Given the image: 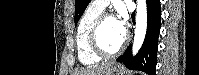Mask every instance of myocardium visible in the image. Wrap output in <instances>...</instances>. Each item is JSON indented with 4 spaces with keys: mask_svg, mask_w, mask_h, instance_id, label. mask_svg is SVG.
<instances>
[{
    "mask_svg": "<svg viewBox=\"0 0 199 75\" xmlns=\"http://www.w3.org/2000/svg\"><path fill=\"white\" fill-rule=\"evenodd\" d=\"M108 18H113V15L111 13H107V12H102L101 14H99L94 22L92 23L89 33H88V41H89V45L92 49V51L102 57V58H106V57H111L114 56L118 53H120L126 46L127 41H128V36L126 34H124V38L123 41L121 42V44L114 50H106L100 42V30L101 27L104 23V21Z\"/></svg>",
    "mask_w": 199,
    "mask_h": 75,
    "instance_id": "1",
    "label": "myocardium"
}]
</instances>
